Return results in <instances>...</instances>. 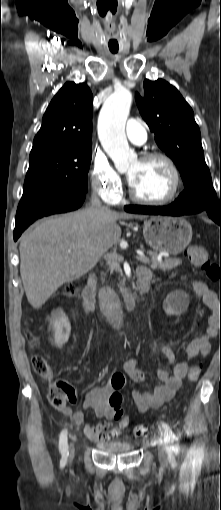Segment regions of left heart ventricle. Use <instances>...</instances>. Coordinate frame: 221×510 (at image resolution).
<instances>
[{
	"mask_svg": "<svg viewBox=\"0 0 221 510\" xmlns=\"http://www.w3.org/2000/svg\"><path fill=\"white\" fill-rule=\"evenodd\" d=\"M127 174L134 191L143 198H163L170 193L173 186L171 170L159 159L147 162L136 160Z\"/></svg>",
	"mask_w": 221,
	"mask_h": 510,
	"instance_id": "b2bd125f",
	"label": "left heart ventricle"
}]
</instances>
